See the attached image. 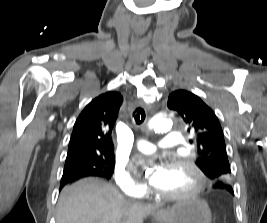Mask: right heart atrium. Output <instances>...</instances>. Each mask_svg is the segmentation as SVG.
<instances>
[{"label": "right heart atrium", "mask_w": 267, "mask_h": 223, "mask_svg": "<svg viewBox=\"0 0 267 223\" xmlns=\"http://www.w3.org/2000/svg\"><path fill=\"white\" fill-rule=\"evenodd\" d=\"M113 179L119 189L127 196L141 197L145 194V186L133 176L130 166L124 162L118 161L115 164Z\"/></svg>", "instance_id": "right-heart-atrium-1"}]
</instances>
